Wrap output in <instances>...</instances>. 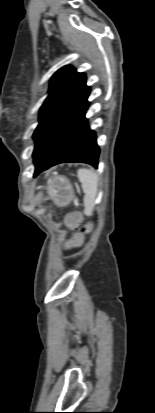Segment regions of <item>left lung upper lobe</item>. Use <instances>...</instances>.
Wrapping results in <instances>:
<instances>
[{
	"label": "left lung upper lobe",
	"mask_w": 155,
	"mask_h": 413,
	"mask_svg": "<svg viewBox=\"0 0 155 413\" xmlns=\"http://www.w3.org/2000/svg\"><path fill=\"white\" fill-rule=\"evenodd\" d=\"M90 88L84 73L71 66L59 69L50 81L49 95L39 112V125L33 138L35 168L59 150L60 136L71 130L89 106Z\"/></svg>",
	"instance_id": "5c2ea615"
}]
</instances>
